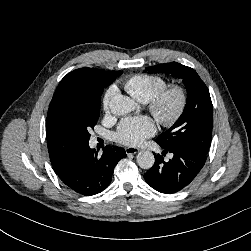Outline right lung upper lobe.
I'll return each mask as SVG.
<instances>
[{
  "mask_svg": "<svg viewBox=\"0 0 251 251\" xmlns=\"http://www.w3.org/2000/svg\"><path fill=\"white\" fill-rule=\"evenodd\" d=\"M119 73L122 72L80 68L70 72L61 80L51 100L46 119L47 145L52 163L69 149L79 145L66 119V101L70 88L87 79L109 78Z\"/></svg>",
  "mask_w": 251,
  "mask_h": 251,
  "instance_id": "right-lung-upper-lobe-1",
  "label": "right lung upper lobe"
}]
</instances>
